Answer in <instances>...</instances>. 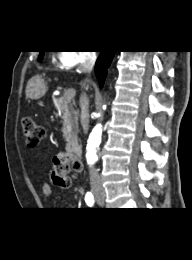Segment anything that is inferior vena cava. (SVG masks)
<instances>
[{"mask_svg":"<svg viewBox=\"0 0 192 260\" xmlns=\"http://www.w3.org/2000/svg\"><path fill=\"white\" fill-rule=\"evenodd\" d=\"M96 61V53L90 51L83 62L79 66V70L83 73H90ZM82 87H85V82L82 83ZM80 107H81V125L85 134H87L89 129V99L86 93H82L80 97ZM90 181L93 189H101L102 182L98 173V170L92 168L90 171Z\"/></svg>","mask_w":192,"mask_h":260,"instance_id":"1","label":"inferior vena cava"}]
</instances>
